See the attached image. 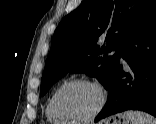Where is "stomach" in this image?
Wrapping results in <instances>:
<instances>
[{"label": "stomach", "mask_w": 156, "mask_h": 124, "mask_svg": "<svg viewBox=\"0 0 156 124\" xmlns=\"http://www.w3.org/2000/svg\"><path fill=\"white\" fill-rule=\"evenodd\" d=\"M107 124H128V122L122 115H118L114 117V119L111 120L110 123Z\"/></svg>", "instance_id": "obj_1"}]
</instances>
